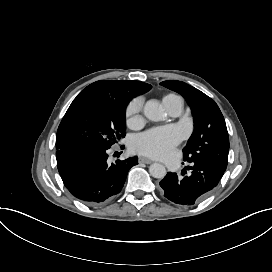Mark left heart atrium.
Wrapping results in <instances>:
<instances>
[{
	"label": "left heart atrium",
	"mask_w": 272,
	"mask_h": 272,
	"mask_svg": "<svg viewBox=\"0 0 272 272\" xmlns=\"http://www.w3.org/2000/svg\"><path fill=\"white\" fill-rule=\"evenodd\" d=\"M178 141L179 137L175 128L157 127L141 134L133 142L132 149L153 158L165 159L173 152Z\"/></svg>",
	"instance_id": "39dd6f15"
}]
</instances>
